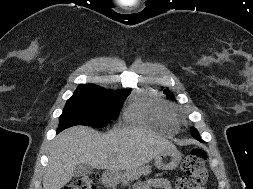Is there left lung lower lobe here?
I'll return each mask as SVG.
<instances>
[{
	"instance_id": "1",
	"label": "left lung lower lobe",
	"mask_w": 253,
	"mask_h": 189,
	"mask_svg": "<svg viewBox=\"0 0 253 189\" xmlns=\"http://www.w3.org/2000/svg\"><path fill=\"white\" fill-rule=\"evenodd\" d=\"M192 136H193L195 139H197L198 141L202 142V140H201L199 134H192Z\"/></svg>"
}]
</instances>
